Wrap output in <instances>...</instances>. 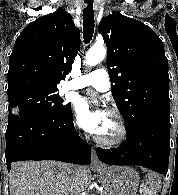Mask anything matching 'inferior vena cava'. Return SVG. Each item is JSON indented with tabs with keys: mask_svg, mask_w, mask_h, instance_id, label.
Returning <instances> with one entry per match:
<instances>
[{
	"mask_svg": "<svg viewBox=\"0 0 178 195\" xmlns=\"http://www.w3.org/2000/svg\"><path fill=\"white\" fill-rule=\"evenodd\" d=\"M72 175H73L74 177L79 176V167H78V166H74V167H73Z\"/></svg>",
	"mask_w": 178,
	"mask_h": 195,
	"instance_id": "obj_1",
	"label": "inferior vena cava"
}]
</instances>
